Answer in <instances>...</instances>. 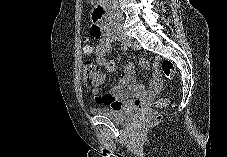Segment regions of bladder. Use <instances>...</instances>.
<instances>
[{"mask_svg":"<svg viewBox=\"0 0 227 157\" xmlns=\"http://www.w3.org/2000/svg\"><path fill=\"white\" fill-rule=\"evenodd\" d=\"M93 112L117 123H129L142 113L138 108L114 109L110 107H96Z\"/></svg>","mask_w":227,"mask_h":157,"instance_id":"bladder-1","label":"bladder"}]
</instances>
